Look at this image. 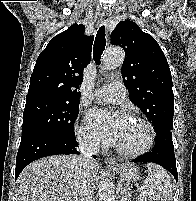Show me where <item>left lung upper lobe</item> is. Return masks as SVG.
<instances>
[{
	"label": "left lung upper lobe",
	"instance_id": "obj_1",
	"mask_svg": "<svg viewBox=\"0 0 196 201\" xmlns=\"http://www.w3.org/2000/svg\"><path fill=\"white\" fill-rule=\"evenodd\" d=\"M112 43L125 50L121 73L135 103L152 122L156 134L172 131L174 96L168 62L156 40L132 21H121Z\"/></svg>",
	"mask_w": 196,
	"mask_h": 201
}]
</instances>
